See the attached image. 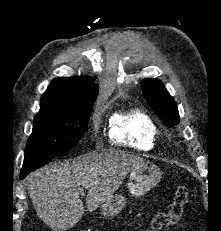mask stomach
I'll return each instance as SVG.
<instances>
[{
  "mask_svg": "<svg viewBox=\"0 0 221 231\" xmlns=\"http://www.w3.org/2000/svg\"><path fill=\"white\" fill-rule=\"evenodd\" d=\"M160 179V169L154 164L144 162L131 170L127 187L133 196L139 197L150 191ZM125 205V198L121 194H115L101 206V214L113 217L121 212Z\"/></svg>",
  "mask_w": 221,
  "mask_h": 231,
  "instance_id": "stomach-1",
  "label": "stomach"
}]
</instances>
